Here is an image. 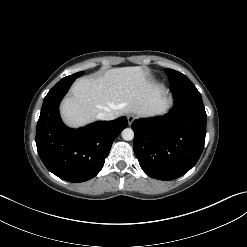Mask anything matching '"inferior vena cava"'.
Returning <instances> with one entry per match:
<instances>
[{
  "instance_id": "obj_1",
  "label": "inferior vena cava",
  "mask_w": 247,
  "mask_h": 247,
  "mask_svg": "<svg viewBox=\"0 0 247 247\" xmlns=\"http://www.w3.org/2000/svg\"><path fill=\"white\" fill-rule=\"evenodd\" d=\"M97 118L100 120H114L116 117L112 112H102L97 115Z\"/></svg>"
}]
</instances>
